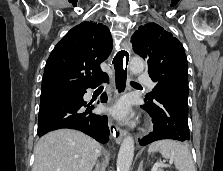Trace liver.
Instances as JSON below:
<instances>
[{"instance_id":"liver-1","label":"liver","mask_w":223,"mask_h":171,"mask_svg":"<svg viewBox=\"0 0 223 171\" xmlns=\"http://www.w3.org/2000/svg\"><path fill=\"white\" fill-rule=\"evenodd\" d=\"M100 150L96 140L80 131L55 130L36 144L32 171H92Z\"/></svg>"}]
</instances>
